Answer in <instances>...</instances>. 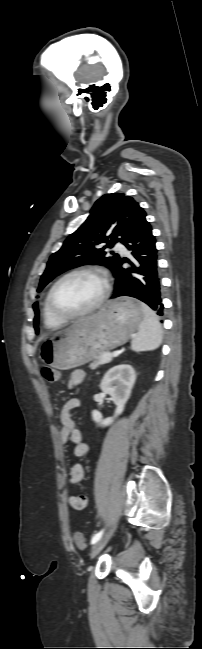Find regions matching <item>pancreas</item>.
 <instances>
[{
	"label": "pancreas",
	"instance_id": "pancreas-1",
	"mask_svg": "<svg viewBox=\"0 0 202 649\" xmlns=\"http://www.w3.org/2000/svg\"><path fill=\"white\" fill-rule=\"evenodd\" d=\"M102 354H103V353L101 352V353L98 354V356H96V357L94 358L93 362L90 364V368H91V369H96L98 366L104 364V363L102 362V357H101Z\"/></svg>",
	"mask_w": 202,
	"mask_h": 649
}]
</instances>
